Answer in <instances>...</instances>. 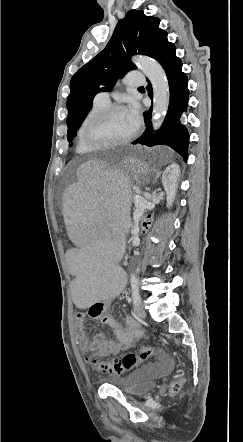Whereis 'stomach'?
I'll use <instances>...</instances> for the list:
<instances>
[{
  "label": "stomach",
  "instance_id": "0dacf381",
  "mask_svg": "<svg viewBox=\"0 0 243 442\" xmlns=\"http://www.w3.org/2000/svg\"><path fill=\"white\" fill-rule=\"evenodd\" d=\"M123 159H127V157L123 158ZM134 163L135 165H146L144 162H142L141 160H130V164Z\"/></svg>",
  "mask_w": 243,
  "mask_h": 442
}]
</instances>
